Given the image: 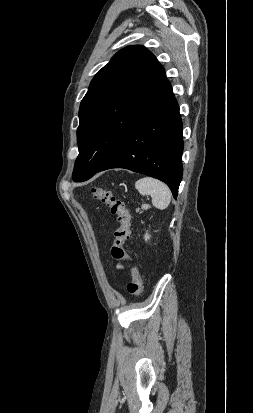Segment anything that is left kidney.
<instances>
[{"label": "left kidney", "mask_w": 253, "mask_h": 413, "mask_svg": "<svg viewBox=\"0 0 253 413\" xmlns=\"http://www.w3.org/2000/svg\"><path fill=\"white\" fill-rule=\"evenodd\" d=\"M145 240L147 241L148 239H150V235L148 233L145 234L144 236Z\"/></svg>", "instance_id": "5707ae66"}]
</instances>
